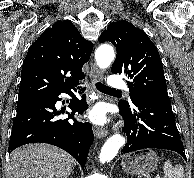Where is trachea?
Returning a JSON list of instances; mask_svg holds the SVG:
<instances>
[{
	"instance_id": "trachea-1",
	"label": "trachea",
	"mask_w": 194,
	"mask_h": 178,
	"mask_svg": "<svg viewBox=\"0 0 194 178\" xmlns=\"http://www.w3.org/2000/svg\"><path fill=\"white\" fill-rule=\"evenodd\" d=\"M95 85H96V88L102 92H119L120 91V90L110 88V87H108L102 83H99V82H97Z\"/></svg>"
}]
</instances>
